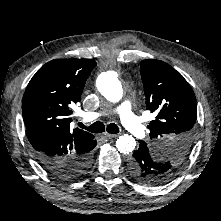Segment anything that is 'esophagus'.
I'll use <instances>...</instances> for the list:
<instances>
[{"label": "esophagus", "instance_id": "esophagus-1", "mask_svg": "<svg viewBox=\"0 0 221 221\" xmlns=\"http://www.w3.org/2000/svg\"><path fill=\"white\" fill-rule=\"evenodd\" d=\"M104 136L107 139H112V138H116L118 135L117 134L104 133Z\"/></svg>", "mask_w": 221, "mask_h": 221}]
</instances>
